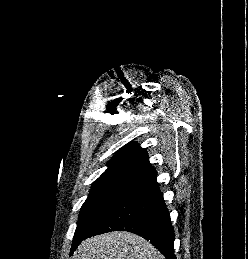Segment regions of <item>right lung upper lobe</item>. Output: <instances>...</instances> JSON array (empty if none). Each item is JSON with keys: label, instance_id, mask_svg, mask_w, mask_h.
<instances>
[{"label": "right lung upper lobe", "instance_id": "obj_1", "mask_svg": "<svg viewBox=\"0 0 248 259\" xmlns=\"http://www.w3.org/2000/svg\"><path fill=\"white\" fill-rule=\"evenodd\" d=\"M156 174L149 163L147 153L136 143L124 146L108 163L106 171L93 185L125 183L135 185Z\"/></svg>", "mask_w": 248, "mask_h": 259}]
</instances>
